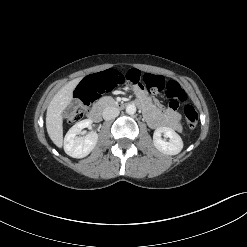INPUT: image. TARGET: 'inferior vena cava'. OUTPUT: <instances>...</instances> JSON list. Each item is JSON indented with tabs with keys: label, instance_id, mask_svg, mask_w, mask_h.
<instances>
[{
	"label": "inferior vena cava",
	"instance_id": "inferior-vena-cava-1",
	"mask_svg": "<svg viewBox=\"0 0 247 247\" xmlns=\"http://www.w3.org/2000/svg\"><path fill=\"white\" fill-rule=\"evenodd\" d=\"M119 113V109L116 107H106L103 110L102 115L105 120H111L116 118L119 115Z\"/></svg>",
	"mask_w": 247,
	"mask_h": 247
}]
</instances>
